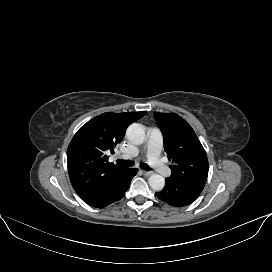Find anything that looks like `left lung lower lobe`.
Listing matches in <instances>:
<instances>
[{"label": "left lung lower lobe", "mask_w": 272, "mask_h": 272, "mask_svg": "<svg viewBox=\"0 0 272 272\" xmlns=\"http://www.w3.org/2000/svg\"><path fill=\"white\" fill-rule=\"evenodd\" d=\"M205 186L204 182H169L166 181L162 191L157 197L176 207L187 206L193 203Z\"/></svg>", "instance_id": "1"}]
</instances>
